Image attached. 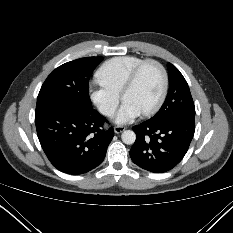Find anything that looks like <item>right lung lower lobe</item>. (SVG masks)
Instances as JSON below:
<instances>
[{
    "label": "right lung lower lobe",
    "instance_id": "right-lung-lower-lobe-1",
    "mask_svg": "<svg viewBox=\"0 0 233 233\" xmlns=\"http://www.w3.org/2000/svg\"><path fill=\"white\" fill-rule=\"evenodd\" d=\"M93 108L54 107L35 114L37 135L47 158L67 174H83L102 163L113 136Z\"/></svg>",
    "mask_w": 233,
    "mask_h": 233
}]
</instances>
